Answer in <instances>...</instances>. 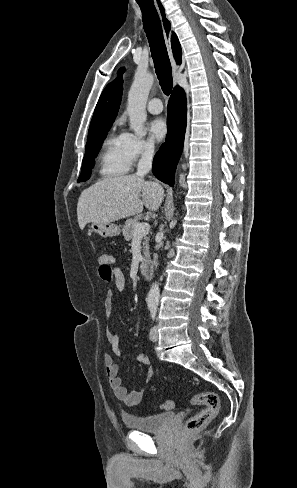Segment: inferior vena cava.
I'll return each instance as SVG.
<instances>
[{"label":"inferior vena cava","mask_w":297,"mask_h":488,"mask_svg":"<svg viewBox=\"0 0 297 488\" xmlns=\"http://www.w3.org/2000/svg\"><path fill=\"white\" fill-rule=\"evenodd\" d=\"M153 154H154V148L152 146L145 145L143 147L141 158L137 165L136 174L138 176H143L151 170Z\"/></svg>","instance_id":"obj_1"}]
</instances>
